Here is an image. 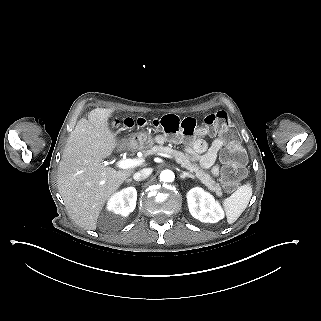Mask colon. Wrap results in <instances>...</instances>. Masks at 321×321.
I'll return each instance as SVG.
<instances>
[{
  "label": "colon",
  "instance_id": "1",
  "mask_svg": "<svg viewBox=\"0 0 321 321\" xmlns=\"http://www.w3.org/2000/svg\"><path fill=\"white\" fill-rule=\"evenodd\" d=\"M123 123L127 127L152 126L168 134L179 133L186 137L219 133L226 142V147L220 155L224 164L221 178L225 188L228 191H232L246 174L245 151L241 146L229 116L224 111L207 115L202 123L191 117L179 118L176 115H164L152 120L146 118H127Z\"/></svg>",
  "mask_w": 321,
  "mask_h": 321
}]
</instances>
